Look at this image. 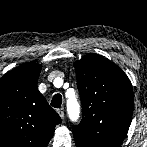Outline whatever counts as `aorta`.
Wrapping results in <instances>:
<instances>
[{
	"instance_id": "aorta-1",
	"label": "aorta",
	"mask_w": 147,
	"mask_h": 147,
	"mask_svg": "<svg viewBox=\"0 0 147 147\" xmlns=\"http://www.w3.org/2000/svg\"><path fill=\"white\" fill-rule=\"evenodd\" d=\"M67 109L72 120H76L79 116L80 106L76 99L72 98L67 101Z\"/></svg>"
}]
</instances>
